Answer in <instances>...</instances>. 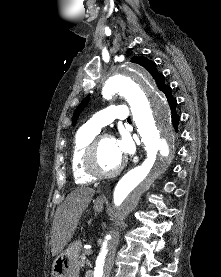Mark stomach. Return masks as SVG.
I'll return each instance as SVG.
<instances>
[{
	"mask_svg": "<svg viewBox=\"0 0 221 277\" xmlns=\"http://www.w3.org/2000/svg\"><path fill=\"white\" fill-rule=\"evenodd\" d=\"M104 201L96 199L93 207L96 212L103 210ZM82 243L80 240L72 242L61 251L53 261L51 277H79Z\"/></svg>",
	"mask_w": 221,
	"mask_h": 277,
	"instance_id": "obj_1",
	"label": "stomach"
}]
</instances>
